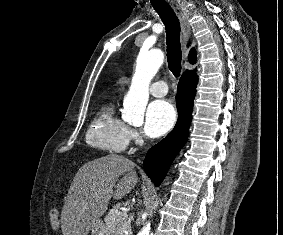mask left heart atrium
<instances>
[{"label": "left heart atrium", "mask_w": 283, "mask_h": 235, "mask_svg": "<svg viewBox=\"0 0 283 235\" xmlns=\"http://www.w3.org/2000/svg\"><path fill=\"white\" fill-rule=\"evenodd\" d=\"M176 112L166 100H156L149 104L145 115V133L150 137H159L174 125Z\"/></svg>", "instance_id": "39dd6f15"}]
</instances>
